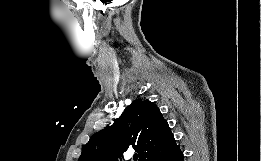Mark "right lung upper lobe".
Instances as JSON below:
<instances>
[{
	"mask_svg": "<svg viewBox=\"0 0 261 161\" xmlns=\"http://www.w3.org/2000/svg\"><path fill=\"white\" fill-rule=\"evenodd\" d=\"M175 144L168 123L149 100L137 99L109 127L95 133L78 161H118L123 152L134 148L139 161Z\"/></svg>",
	"mask_w": 261,
	"mask_h": 161,
	"instance_id": "obj_1",
	"label": "right lung upper lobe"
}]
</instances>
